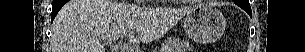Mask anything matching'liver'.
Returning a JSON list of instances; mask_svg holds the SVG:
<instances>
[{"mask_svg":"<svg viewBox=\"0 0 305 52\" xmlns=\"http://www.w3.org/2000/svg\"><path fill=\"white\" fill-rule=\"evenodd\" d=\"M190 9L144 8L113 0H70L54 19L52 52H105L102 41L122 37H128L130 43L152 42Z\"/></svg>","mask_w":305,"mask_h":52,"instance_id":"6515ba94","label":"liver"}]
</instances>
